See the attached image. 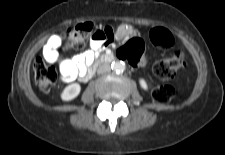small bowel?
<instances>
[{
	"label": "small bowel",
	"instance_id": "c3829d8e",
	"mask_svg": "<svg viewBox=\"0 0 225 155\" xmlns=\"http://www.w3.org/2000/svg\"><path fill=\"white\" fill-rule=\"evenodd\" d=\"M130 33V29L123 27L119 31V36L124 37ZM113 38V32L110 28L95 32L90 40L91 49L76 55L72 59L63 58L59 53L61 39L58 35L51 36L45 43L42 54L44 59L49 63H58L62 80L71 82L78 76L83 77L86 74L87 66L90 65L96 53ZM142 59L140 64H145Z\"/></svg>",
	"mask_w": 225,
	"mask_h": 155
}]
</instances>
